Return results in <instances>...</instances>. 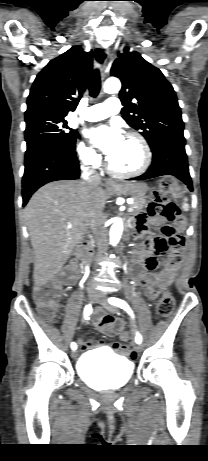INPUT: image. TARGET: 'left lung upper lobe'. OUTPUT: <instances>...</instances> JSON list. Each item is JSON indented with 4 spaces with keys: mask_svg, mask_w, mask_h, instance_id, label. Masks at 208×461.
<instances>
[{
    "mask_svg": "<svg viewBox=\"0 0 208 461\" xmlns=\"http://www.w3.org/2000/svg\"><path fill=\"white\" fill-rule=\"evenodd\" d=\"M111 75L122 82L123 119L140 131L151 149L164 139L184 138L175 91L158 68L125 47L113 63Z\"/></svg>",
    "mask_w": 208,
    "mask_h": 461,
    "instance_id": "1",
    "label": "left lung upper lobe"
}]
</instances>
